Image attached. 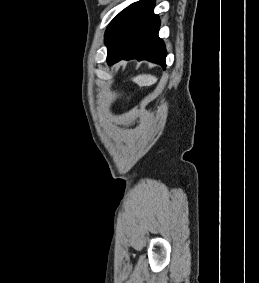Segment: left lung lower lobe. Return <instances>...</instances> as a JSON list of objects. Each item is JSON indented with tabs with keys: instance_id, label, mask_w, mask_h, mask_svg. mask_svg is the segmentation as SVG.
I'll use <instances>...</instances> for the list:
<instances>
[{
	"instance_id": "obj_1",
	"label": "left lung lower lobe",
	"mask_w": 259,
	"mask_h": 283,
	"mask_svg": "<svg viewBox=\"0 0 259 283\" xmlns=\"http://www.w3.org/2000/svg\"><path fill=\"white\" fill-rule=\"evenodd\" d=\"M154 0H140L122 10L105 33L107 62L149 60L166 67V49L158 37L160 20L154 15Z\"/></svg>"
}]
</instances>
